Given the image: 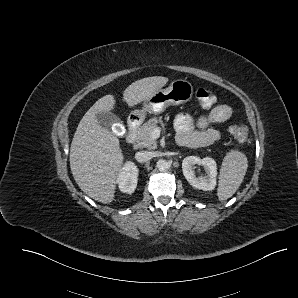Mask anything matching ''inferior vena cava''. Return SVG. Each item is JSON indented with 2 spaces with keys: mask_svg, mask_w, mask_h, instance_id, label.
Segmentation results:
<instances>
[{
  "mask_svg": "<svg viewBox=\"0 0 298 298\" xmlns=\"http://www.w3.org/2000/svg\"><path fill=\"white\" fill-rule=\"evenodd\" d=\"M154 157V153L151 151H139L135 154V159L142 163L151 160Z\"/></svg>",
  "mask_w": 298,
  "mask_h": 298,
  "instance_id": "1",
  "label": "inferior vena cava"
}]
</instances>
